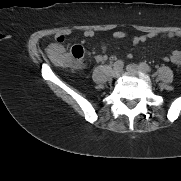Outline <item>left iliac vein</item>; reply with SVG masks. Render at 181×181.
Here are the masks:
<instances>
[{
  "label": "left iliac vein",
  "instance_id": "4c4485c4",
  "mask_svg": "<svg viewBox=\"0 0 181 181\" xmlns=\"http://www.w3.org/2000/svg\"><path fill=\"white\" fill-rule=\"evenodd\" d=\"M127 70H137V71H141V72H146L145 70L141 69L140 66H137L136 64H129L127 65Z\"/></svg>",
  "mask_w": 181,
  "mask_h": 181
}]
</instances>
